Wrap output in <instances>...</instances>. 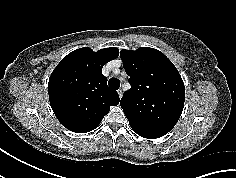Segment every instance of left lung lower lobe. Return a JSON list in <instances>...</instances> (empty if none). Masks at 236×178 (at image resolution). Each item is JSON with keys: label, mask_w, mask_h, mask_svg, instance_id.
I'll return each instance as SVG.
<instances>
[{"label": "left lung lower lobe", "mask_w": 236, "mask_h": 178, "mask_svg": "<svg viewBox=\"0 0 236 178\" xmlns=\"http://www.w3.org/2000/svg\"><path fill=\"white\" fill-rule=\"evenodd\" d=\"M144 138H148V139H155V138H158V137H154V136H145V135H141V134H138Z\"/></svg>", "instance_id": "left-lung-lower-lobe-1"}]
</instances>
